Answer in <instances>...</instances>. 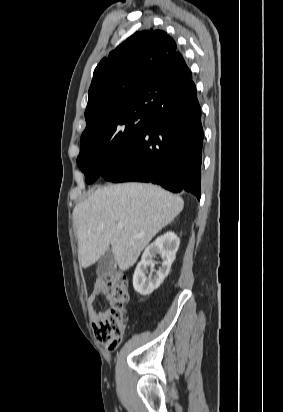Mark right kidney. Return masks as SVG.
Here are the masks:
<instances>
[{"mask_svg": "<svg viewBox=\"0 0 283 412\" xmlns=\"http://www.w3.org/2000/svg\"><path fill=\"white\" fill-rule=\"evenodd\" d=\"M179 244L180 240L177 235L174 232H167L147 246L133 275V287L137 293L148 296L162 284L169 274ZM157 255H160L162 262L159 269L155 270L157 262L154 258Z\"/></svg>", "mask_w": 283, "mask_h": 412, "instance_id": "obj_1", "label": "right kidney"}]
</instances>
